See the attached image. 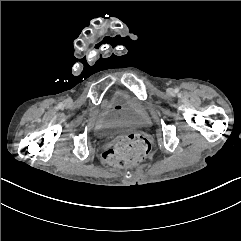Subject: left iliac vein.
<instances>
[{
	"instance_id": "obj_1",
	"label": "left iliac vein",
	"mask_w": 241,
	"mask_h": 241,
	"mask_svg": "<svg viewBox=\"0 0 241 241\" xmlns=\"http://www.w3.org/2000/svg\"><path fill=\"white\" fill-rule=\"evenodd\" d=\"M167 93L171 94V95L174 94V89L173 88H168L167 89Z\"/></svg>"
}]
</instances>
